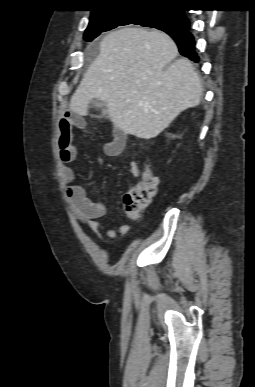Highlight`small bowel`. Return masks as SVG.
Here are the masks:
<instances>
[{"label": "small bowel", "mask_w": 255, "mask_h": 387, "mask_svg": "<svg viewBox=\"0 0 255 387\" xmlns=\"http://www.w3.org/2000/svg\"><path fill=\"white\" fill-rule=\"evenodd\" d=\"M86 120L79 114H65L58 124V148L61 161L72 162L77 155L74 142L73 129L84 128ZM126 146V136L118 129L113 130V137L104 145V153L115 157L122 154ZM130 173L133 177L140 174L136 161L129 163ZM65 195L72 213L90 230L99 237L113 238L118 234H125L129 230L128 224L119 227L107 228L99 219L106 214V206L102 200L89 197L85 187V178L78 168L64 167Z\"/></svg>", "instance_id": "c3829d8e"}]
</instances>
